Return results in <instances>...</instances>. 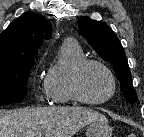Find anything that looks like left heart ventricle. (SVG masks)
I'll return each instance as SVG.
<instances>
[{"label": "left heart ventricle", "instance_id": "left-heart-ventricle-1", "mask_svg": "<svg viewBox=\"0 0 144 137\" xmlns=\"http://www.w3.org/2000/svg\"><path fill=\"white\" fill-rule=\"evenodd\" d=\"M82 91L89 99L97 100L111 92V81L106 72L96 65L86 68L81 78Z\"/></svg>", "mask_w": 144, "mask_h": 137}]
</instances>
